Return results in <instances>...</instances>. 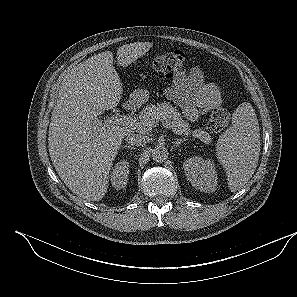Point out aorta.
Instances as JSON below:
<instances>
[{
	"label": "aorta",
	"instance_id": "1",
	"mask_svg": "<svg viewBox=\"0 0 297 297\" xmlns=\"http://www.w3.org/2000/svg\"><path fill=\"white\" fill-rule=\"evenodd\" d=\"M168 150L164 146H157L152 150V158L156 162H164L168 158Z\"/></svg>",
	"mask_w": 297,
	"mask_h": 297
}]
</instances>
